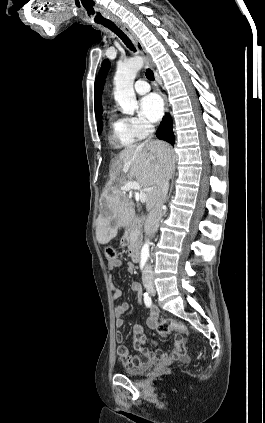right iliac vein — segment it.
<instances>
[{"mask_svg": "<svg viewBox=\"0 0 265 423\" xmlns=\"http://www.w3.org/2000/svg\"><path fill=\"white\" fill-rule=\"evenodd\" d=\"M144 287L150 294H152V295L155 294V288L153 286V283L150 280L144 281Z\"/></svg>", "mask_w": 265, "mask_h": 423, "instance_id": "obj_1", "label": "right iliac vein"}]
</instances>
